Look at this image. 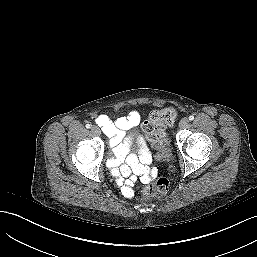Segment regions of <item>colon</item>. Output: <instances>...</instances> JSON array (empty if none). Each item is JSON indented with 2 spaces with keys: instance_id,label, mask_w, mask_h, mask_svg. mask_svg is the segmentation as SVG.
<instances>
[{
  "instance_id": "1",
  "label": "colon",
  "mask_w": 257,
  "mask_h": 257,
  "mask_svg": "<svg viewBox=\"0 0 257 257\" xmlns=\"http://www.w3.org/2000/svg\"><path fill=\"white\" fill-rule=\"evenodd\" d=\"M176 110L173 107H167L153 111L149 119L144 122L143 130L154 148L167 142L165 129L171 125L176 117ZM169 189V181L166 178H158L152 182H146L141 187V196L144 199L155 195L165 194Z\"/></svg>"
}]
</instances>
